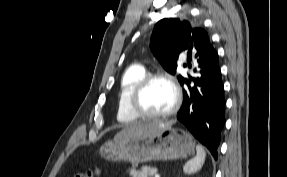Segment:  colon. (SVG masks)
<instances>
[{
    "instance_id": "5ec220e1",
    "label": "colon",
    "mask_w": 287,
    "mask_h": 177,
    "mask_svg": "<svg viewBox=\"0 0 287 177\" xmlns=\"http://www.w3.org/2000/svg\"><path fill=\"white\" fill-rule=\"evenodd\" d=\"M97 174L98 170H87L85 172L74 174L72 177H95Z\"/></svg>"
}]
</instances>
